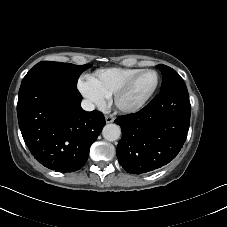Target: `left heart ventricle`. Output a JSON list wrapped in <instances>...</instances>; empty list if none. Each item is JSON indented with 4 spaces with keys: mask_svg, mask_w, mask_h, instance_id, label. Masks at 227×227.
<instances>
[{
    "mask_svg": "<svg viewBox=\"0 0 227 227\" xmlns=\"http://www.w3.org/2000/svg\"><path fill=\"white\" fill-rule=\"evenodd\" d=\"M155 82L156 76L154 73L148 72L140 75L135 80L129 91L122 96L120 104L124 107L136 105L147 96Z\"/></svg>",
    "mask_w": 227,
    "mask_h": 227,
    "instance_id": "left-heart-ventricle-1",
    "label": "left heart ventricle"
}]
</instances>
